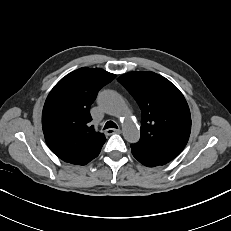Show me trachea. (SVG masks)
<instances>
[{
  "label": "trachea",
  "instance_id": "3493384b",
  "mask_svg": "<svg viewBox=\"0 0 231 231\" xmlns=\"http://www.w3.org/2000/svg\"><path fill=\"white\" fill-rule=\"evenodd\" d=\"M109 128H116L117 129L118 127L113 121H108V122H106L103 130L109 129Z\"/></svg>",
  "mask_w": 231,
  "mask_h": 231
}]
</instances>
